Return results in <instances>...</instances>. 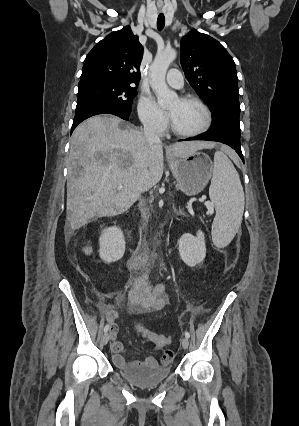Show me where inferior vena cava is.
Returning a JSON list of instances; mask_svg holds the SVG:
<instances>
[{"label": "inferior vena cava", "mask_w": 299, "mask_h": 426, "mask_svg": "<svg viewBox=\"0 0 299 426\" xmlns=\"http://www.w3.org/2000/svg\"><path fill=\"white\" fill-rule=\"evenodd\" d=\"M144 137L149 145L155 144V143H161V140L158 136V133L156 131V127L154 124L147 122L144 124ZM140 205L142 207V216L147 220V210L146 208H143L144 203L143 201L140 202Z\"/></svg>", "instance_id": "inferior-vena-cava-1"}]
</instances>
